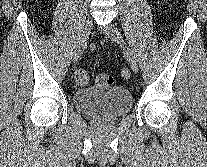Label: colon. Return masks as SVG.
I'll list each match as a JSON object with an SVG mask.
<instances>
[{
	"label": "colon",
	"mask_w": 207,
	"mask_h": 167,
	"mask_svg": "<svg viewBox=\"0 0 207 167\" xmlns=\"http://www.w3.org/2000/svg\"><path fill=\"white\" fill-rule=\"evenodd\" d=\"M120 75L125 80L131 77V73L127 68H123L120 72ZM74 79L78 84L86 85L90 80V76L85 69L79 68L75 71ZM94 82L96 85L101 87L110 86L113 84V77L105 73H100L95 76Z\"/></svg>",
	"instance_id": "obj_1"
}]
</instances>
